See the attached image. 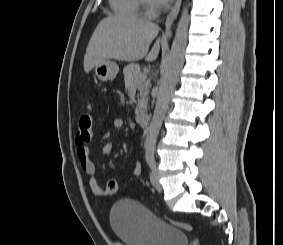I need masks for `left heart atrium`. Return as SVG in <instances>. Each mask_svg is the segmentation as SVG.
Segmentation results:
<instances>
[{
  "instance_id": "39dd6f15",
  "label": "left heart atrium",
  "mask_w": 283,
  "mask_h": 245,
  "mask_svg": "<svg viewBox=\"0 0 283 245\" xmlns=\"http://www.w3.org/2000/svg\"><path fill=\"white\" fill-rule=\"evenodd\" d=\"M171 0H151V2L155 5V6H165L167 5Z\"/></svg>"
}]
</instances>
